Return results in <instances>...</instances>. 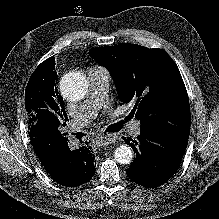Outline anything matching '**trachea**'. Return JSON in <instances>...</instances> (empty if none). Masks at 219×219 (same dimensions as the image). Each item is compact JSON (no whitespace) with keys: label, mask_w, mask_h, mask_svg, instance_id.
<instances>
[{"label":"trachea","mask_w":219,"mask_h":219,"mask_svg":"<svg viewBox=\"0 0 219 219\" xmlns=\"http://www.w3.org/2000/svg\"><path fill=\"white\" fill-rule=\"evenodd\" d=\"M123 124L124 121L112 124L107 128V132H118L122 129Z\"/></svg>","instance_id":"trachea-1"}]
</instances>
